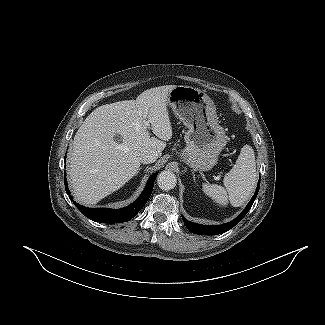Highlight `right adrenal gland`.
Segmentation results:
<instances>
[{
	"label": "right adrenal gland",
	"instance_id": "2a0ac1e0",
	"mask_svg": "<svg viewBox=\"0 0 325 325\" xmlns=\"http://www.w3.org/2000/svg\"><path fill=\"white\" fill-rule=\"evenodd\" d=\"M141 169H142V167L139 168V170L137 171L136 175L139 173V171H140ZM136 175H135V176H136Z\"/></svg>",
	"mask_w": 325,
	"mask_h": 325
}]
</instances>
